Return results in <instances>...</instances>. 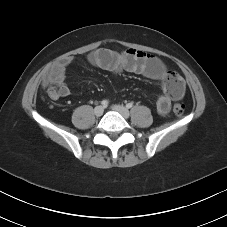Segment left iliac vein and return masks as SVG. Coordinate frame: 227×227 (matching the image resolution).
<instances>
[{"mask_svg":"<svg viewBox=\"0 0 227 227\" xmlns=\"http://www.w3.org/2000/svg\"><path fill=\"white\" fill-rule=\"evenodd\" d=\"M112 109L118 113H120L124 118H128L130 113L129 110L127 108H125L124 106L121 105H113Z\"/></svg>","mask_w":227,"mask_h":227,"instance_id":"1","label":"left iliac vein"}]
</instances>
